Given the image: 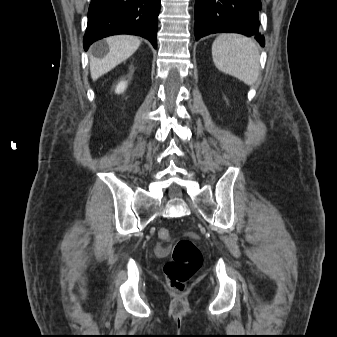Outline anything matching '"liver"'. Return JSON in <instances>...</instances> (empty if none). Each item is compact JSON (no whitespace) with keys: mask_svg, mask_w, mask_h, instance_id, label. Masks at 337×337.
<instances>
[{"mask_svg":"<svg viewBox=\"0 0 337 337\" xmlns=\"http://www.w3.org/2000/svg\"><path fill=\"white\" fill-rule=\"evenodd\" d=\"M108 53L102 59L91 58L90 73L93 81L128 59L139 48L141 41L132 35H115L108 37Z\"/></svg>","mask_w":337,"mask_h":337,"instance_id":"6515ba94","label":"liver"}]
</instances>
